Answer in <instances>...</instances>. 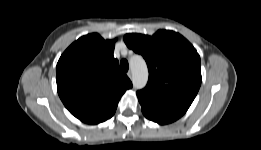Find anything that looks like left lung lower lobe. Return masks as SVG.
Masks as SVG:
<instances>
[{
    "mask_svg": "<svg viewBox=\"0 0 261 150\" xmlns=\"http://www.w3.org/2000/svg\"><path fill=\"white\" fill-rule=\"evenodd\" d=\"M142 108V112L146 118L157 122L159 124H168L171 123L178 118H180L183 114L174 112L172 110L156 106L145 101L139 100Z\"/></svg>",
    "mask_w": 261,
    "mask_h": 150,
    "instance_id": "1",
    "label": "left lung lower lobe"
}]
</instances>
